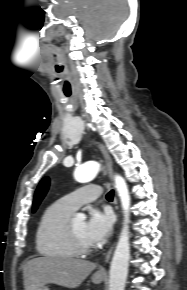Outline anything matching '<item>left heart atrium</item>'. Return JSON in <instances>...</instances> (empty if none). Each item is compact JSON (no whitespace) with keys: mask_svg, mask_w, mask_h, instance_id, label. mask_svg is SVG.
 Listing matches in <instances>:
<instances>
[{"mask_svg":"<svg viewBox=\"0 0 187 290\" xmlns=\"http://www.w3.org/2000/svg\"><path fill=\"white\" fill-rule=\"evenodd\" d=\"M114 219L111 213L91 209L85 226L87 240L91 244L104 242L111 234Z\"/></svg>","mask_w":187,"mask_h":290,"instance_id":"left-heart-atrium-1","label":"left heart atrium"}]
</instances>
